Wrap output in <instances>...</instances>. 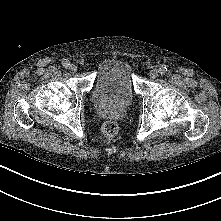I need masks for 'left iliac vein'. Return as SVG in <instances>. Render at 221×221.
Masks as SVG:
<instances>
[{
  "mask_svg": "<svg viewBox=\"0 0 221 221\" xmlns=\"http://www.w3.org/2000/svg\"><path fill=\"white\" fill-rule=\"evenodd\" d=\"M149 74H150L151 78H156L158 76L159 72L156 69H152Z\"/></svg>",
  "mask_w": 221,
  "mask_h": 221,
  "instance_id": "1",
  "label": "left iliac vein"
}]
</instances>
